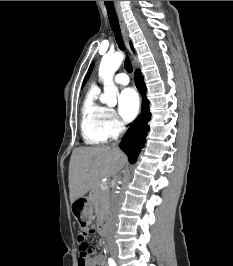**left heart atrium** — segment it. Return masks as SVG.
I'll return each mask as SVG.
<instances>
[{
	"mask_svg": "<svg viewBox=\"0 0 233 266\" xmlns=\"http://www.w3.org/2000/svg\"><path fill=\"white\" fill-rule=\"evenodd\" d=\"M118 110L121 118L129 122L133 120L139 111V97L132 88H125L118 97Z\"/></svg>",
	"mask_w": 233,
	"mask_h": 266,
	"instance_id": "obj_1",
	"label": "left heart atrium"
}]
</instances>
